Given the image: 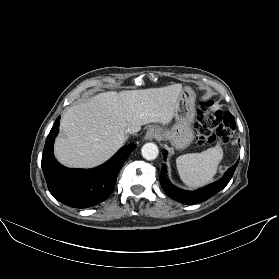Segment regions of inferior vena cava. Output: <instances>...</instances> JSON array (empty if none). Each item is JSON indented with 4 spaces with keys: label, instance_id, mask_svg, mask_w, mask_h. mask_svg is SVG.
<instances>
[{
    "label": "inferior vena cava",
    "instance_id": "1",
    "mask_svg": "<svg viewBox=\"0 0 279 279\" xmlns=\"http://www.w3.org/2000/svg\"><path fill=\"white\" fill-rule=\"evenodd\" d=\"M127 133H129V134H134L135 132H134L133 130H131V129H128V130H127Z\"/></svg>",
    "mask_w": 279,
    "mask_h": 279
}]
</instances>
